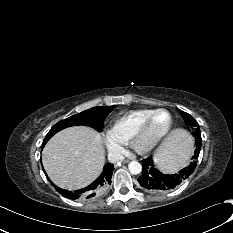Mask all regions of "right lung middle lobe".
<instances>
[{"label":"right lung middle lobe","instance_id":"dd1d6c3e","mask_svg":"<svg viewBox=\"0 0 233 233\" xmlns=\"http://www.w3.org/2000/svg\"><path fill=\"white\" fill-rule=\"evenodd\" d=\"M113 109L114 106L93 107L59 121L50 129L43 141V145H45L55 133L70 126L85 125L102 131L104 120Z\"/></svg>","mask_w":233,"mask_h":233}]
</instances>
